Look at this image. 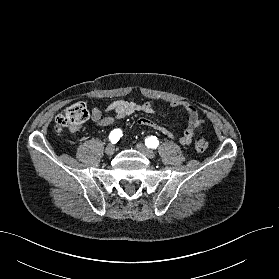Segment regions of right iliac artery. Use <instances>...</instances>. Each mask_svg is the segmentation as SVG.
Here are the masks:
<instances>
[{"label": "right iliac artery", "instance_id": "right-iliac-artery-1", "mask_svg": "<svg viewBox=\"0 0 279 279\" xmlns=\"http://www.w3.org/2000/svg\"><path fill=\"white\" fill-rule=\"evenodd\" d=\"M122 137V131L120 129H114L111 131L109 135V140L115 144L119 141V139Z\"/></svg>", "mask_w": 279, "mask_h": 279}]
</instances>
